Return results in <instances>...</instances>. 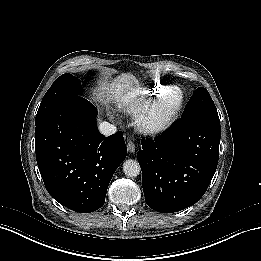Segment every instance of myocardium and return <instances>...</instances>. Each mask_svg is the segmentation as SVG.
Returning a JSON list of instances; mask_svg holds the SVG:
<instances>
[{
  "mask_svg": "<svg viewBox=\"0 0 261 261\" xmlns=\"http://www.w3.org/2000/svg\"><path fill=\"white\" fill-rule=\"evenodd\" d=\"M157 96L150 104L137 116L136 122L138 126L144 130L161 129L172 121L181 109L183 98L180 95L175 108L168 114L163 116L155 115V108L157 105Z\"/></svg>",
  "mask_w": 261,
  "mask_h": 261,
  "instance_id": "f54148a6",
  "label": "myocardium"
}]
</instances>
